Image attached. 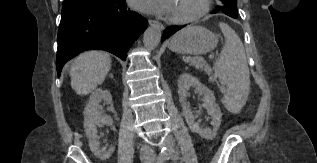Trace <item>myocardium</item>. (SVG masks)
<instances>
[{
    "mask_svg": "<svg viewBox=\"0 0 317 163\" xmlns=\"http://www.w3.org/2000/svg\"><path fill=\"white\" fill-rule=\"evenodd\" d=\"M211 0H199L198 8L195 12L184 17L168 16V21L176 25H185L197 21L208 13Z\"/></svg>",
    "mask_w": 317,
    "mask_h": 163,
    "instance_id": "obj_1",
    "label": "myocardium"
}]
</instances>
